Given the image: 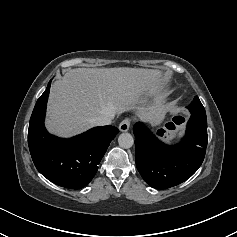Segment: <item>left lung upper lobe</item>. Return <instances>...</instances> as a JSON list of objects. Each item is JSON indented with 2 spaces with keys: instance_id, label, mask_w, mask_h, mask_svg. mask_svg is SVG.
I'll return each mask as SVG.
<instances>
[{
  "instance_id": "5c2ea615",
  "label": "left lung upper lobe",
  "mask_w": 237,
  "mask_h": 237,
  "mask_svg": "<svg viewBox=\"0 0 237 237\" xmlns=\"http://www.w3.org/2000/svg\"><path fill=\"white\" fill-rule=\"evenodd\" d=\"M189 110L191 112V116L197 117L200 119H207L205 109L202 103L200 102L198 96H196L191 102V104L189 105Z\"/></svg>"
}]
</instances>
